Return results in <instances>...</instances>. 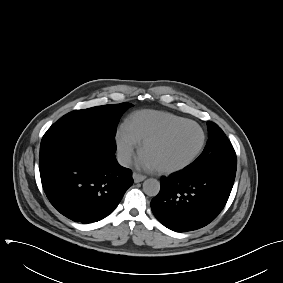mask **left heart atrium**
<instances>
[{
    "mask_svg": "<svg viewBox=\"0 0 283 283\" xmlns=\"http://www.w3.org/2000/svg\"><path fill=\"white\" fill-rule=\"evenodd\" d=\"M137 165L144 169H154L155 168L151 160L144 153H141L139 155L138 160H137Z\"/></svg>",
    "mask_w": 283,
    "mask_h": 283,
    "instance_id": "left-heart-atrium-1",
    "label": "left heart atrium"
}]
</instances>
